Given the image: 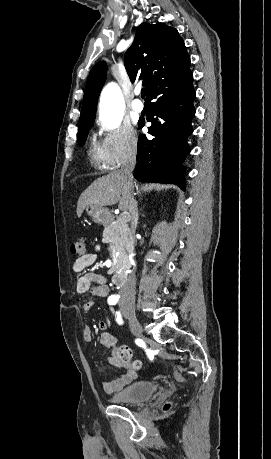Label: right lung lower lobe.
Segmentation results:
<instances>
[{"label": "right lung lower lobe", "mask_w": 271, "mask_h": 459, "mask_svg": "<svg viewBox=\"0 0 271 459\" xmlns=\"http://www.w3.org/2000/svg\"><path fill=\"white\" fill-rule=\"evenodd\" d=\"M193 75L191 71L172 76L162 83L148 99L152 109L147 121L152 125L149 140L141 134L138 139L137 164L134 177L142 182L175 183L185 187L184 157L190 152L187 137L192 134V118L195 115L193 101ZM157 116V118H154ZM145 122L139 120L142 128Z\"/></svg>", "instance_id": "1"}]
</instances>
